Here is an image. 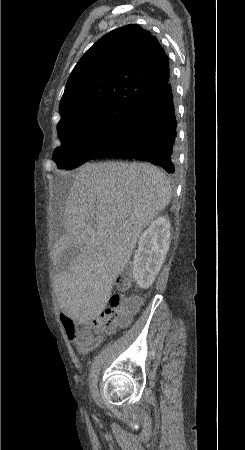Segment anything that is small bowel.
Instances as JSON below:
<instances>
[{
    "mask_svg": "<svg viewBox=\"0 0 245 450\" xmlns=\"http://www.w3.org/2000/svg\"><path fill=\"white\" fill-rule=\"evenodd\" d=\"M80 287V284L78 281H73L72 283V289H77ZM72 301V294H70L68 297L64 298L60 304L59 309L61 313V317H70L75 321H82L83 318L78 317L75 312L74 308L71 305ZM76 348L82 352V353H88L89 351L93 350L95 347H97L99 344H101L104 340V336L102 334L96 335L95 337H92L87 342L80 341L76 336L70 337Z\"/></svg>",
    "mask_w": 245,
    "mask_h": 450,
    "instance_id": "1",
    "label": "small bowel"
}]
</instances>
